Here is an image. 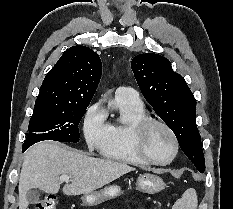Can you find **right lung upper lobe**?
I'll return each mask as SVG.
<instances>
[{
	"label": "right lung upper lobe",
	"instance_id": "cb5924a9",
	"mask_svg": "<svg viewBox=\"0 0 233 209\" xmlns=\"http://www.w3.org/2000/svg\"><path fill=\"white\" fill-rule=\"evenodd\" d=\"M101 74L100 57L92 49L70 47L47 73L34 109L60 111L89 104Z\"/></svg>",
	"mask_w": 233,
	"mask_h": 209
}]
</instances>
